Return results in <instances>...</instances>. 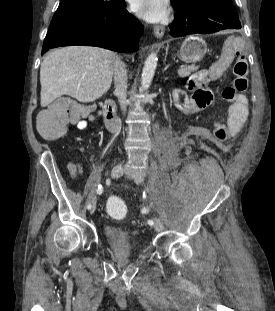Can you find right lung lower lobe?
Instances as JSON below:
<instances>
[{
  "mask_svg": "<svg viewBox=\"0 0 275 311\" xmlns=\"http://www.w3.org/2000/svg\"><path fill=\"white\" fill-rule=\"evenodd\" d=\"M142 24L125 9L123 0L110 10L73 17L51 25L42 55L51 48L89 45L118 52L138 50Z\"/></svg>",
  "mask_w": 275,
  "mask_h": 311,
  "instance_id": "98d812e1",
  "label": "right lung lower lobe"
}]
</instances>
